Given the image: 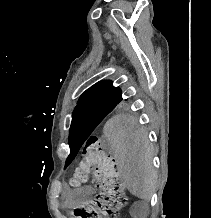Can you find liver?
Listing matches in <instances>:
<instances>
[{
    "label": "liver",
    "mask_w": 211,
    "mask_h": 218,
    "mask_svg": "<svg viewBox=\"0 0 211 218\" xmlns=\"http://www.w3.org/2000/svg\"><path fill=\"white\" fill-rule=\"evenodd\" d=\"M103 132L127 190L137 198L150 200L155 192L157 176L146 130L139 128L137 118L130 114H118L106 122Z\"/></svg>",
    "instance_id": "6515ba94"
}]
</instances>
